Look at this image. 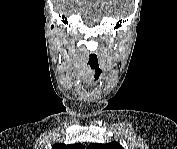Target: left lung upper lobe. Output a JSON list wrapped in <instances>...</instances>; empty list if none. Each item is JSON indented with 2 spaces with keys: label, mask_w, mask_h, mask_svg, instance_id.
Listing matches in <instances>:
<instances>
[{
  "label": "left lung upper lobe",
  "mask_w": 177,
  "mask_h": 149,
  "mask_svg": "<svg viewBox=\"0 0 177 149\" xmlns=\"http://www.w3.org/2000/svg\"><path fill=\"white\" fill-rule=\"evenodd\" d=\"M89 149H123V147L117 142H111L107 144H90L88 145Z\"/></svg>",
  "instance_id": "obj_1"
}]
</instances>
